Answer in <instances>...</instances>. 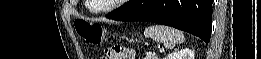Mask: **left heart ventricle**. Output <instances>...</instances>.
Segmentation results:
<instances>
[{"label":"left heart ventricle","mask_w":261,"mask_h":59,"mask_svg":"<svg viewBox=\"0 0 261 59\" xmlns=\"http://www.w3.org/2000/svg\"><path fill=\"white\" fill-rule=\"evenodd\" d=\"M113 2V0H92L90 3H92L94 8H102L110 5Z\"/></svg>","instance_id":"b2bd125f"}]
</instances>
